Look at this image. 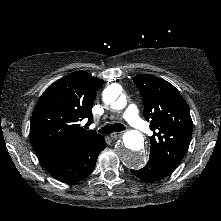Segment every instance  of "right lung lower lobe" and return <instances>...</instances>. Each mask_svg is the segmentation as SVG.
<instances>
[{"label":"right lung lower lobe","instance_id":"right-lung-lower-lobe-1","mask_svg":"<svg viewBox=\"0 0 221 221\" xmlns=\"http://www.w3.org/2000/svg\"><path fill=\"white\" fill-rule=\"evenodd\" d=\"M106 147L103 137L93 143L57 156L41 158L46 170L56 179L65 183H76L93 171L99 153Z\"/></svg>","mask_w":221,"mask_h":221}]
</instances>
